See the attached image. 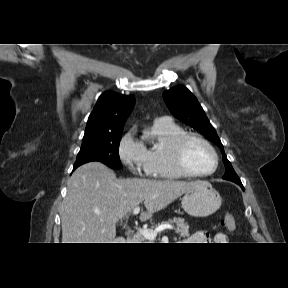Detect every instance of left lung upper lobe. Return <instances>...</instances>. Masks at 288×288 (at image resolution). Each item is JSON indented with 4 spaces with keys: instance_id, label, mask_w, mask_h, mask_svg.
<instances>
[{
    "instance_id": "obj_1",
    "label": "left lung upper lobe",
    "mask_w": 288,
    "mask_h": 288,
    "mask_svg": "<svg viewBox=\"0 0 288 288\" xmlns=\"http://www.w3.org/2000/svg\"><path fill=\"white\" fill-rule=\"evenodd\" d=\"M163 98L171 113L182 122L190 125L208 140L216 143L223 155V162L226 167L223 179L232 182H241L235 173L231 163L228 161L223 145L197 98L183 85L173 87L163 93Z\"/></svg>"
}]
</instances>
